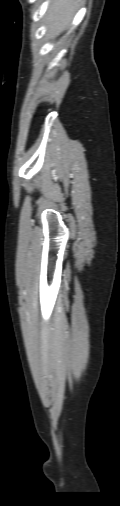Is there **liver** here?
<instances>
[{
    "instance_id": "liver-1",
    "label": "liver",
    "mask_w": 120,
    "mask_h": 506,
    "mask_svg": "<svg viewBox=\"0 0 120 506\" xmlns=\"http://www.w3.org/2000/svg\"><path fill=\"white\" fill-rule=\"evenodd\" d=\"M79 1L56 0L50 7L48 22L50 37L60 34L71 21Z\"/></svg>"
}]
</instances>
